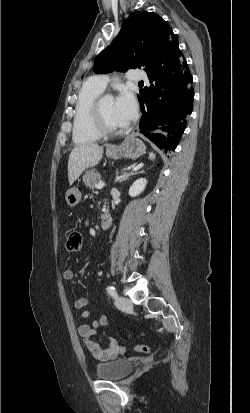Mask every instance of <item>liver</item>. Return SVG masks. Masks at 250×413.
Segmentation results:
<instances>
[{
  "instance_id": "6515ba94",
  "label": "liver",
  "mask_w": 250,
  "mask_h": 413,
  "mask_svg": "<svg viewBox=\"0 0 250 413\" xmlns=\"http://www.w3.org/2000/svg\"><path fill=\"white\" fill-rule=\"evenodd\" d=\"M103 155V146L85 143L73 148L68 160V180L73 182L89 167L96 166Z\"/></svg>"
}]
</instances>
